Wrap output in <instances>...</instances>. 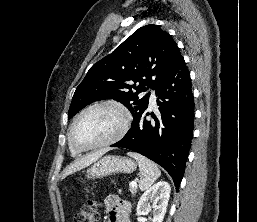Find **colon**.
Wrapping results in <instances>:
<instances>
[{
	"mask_svg": "<svg viewBox=\"0 0 257 222\" xmlns=\"http://www.w3.org/2000/svg\"><path fill=\"white\" fill-rule=\"evenodd\" d=\"M99 218V204L95 199H89L84 208L78 212L72 222H96Z\"/></svg>",
	"mask_w": 257,
	"mask_h": 222,
	"instance_id": "5ec220e1",
	"label": "colon"
}]
</instances>
